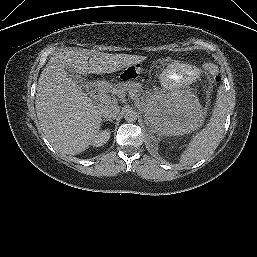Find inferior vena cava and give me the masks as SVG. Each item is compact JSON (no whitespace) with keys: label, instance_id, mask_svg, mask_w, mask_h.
<instances>
[{"label":"inferior vena cava","instance_id":"obj_1","mask_svg":"<svg viewBox=\"0 0 257 257\" xmlns=\"http://www.w3.org/2000/svg\"><path fill=\"white\" fill-rule=\"evenodd\" d=\"M120 113V107L117 104H105L99 109V114L104 119H115Z\"/></svg>","mask_w":257,"mask_h":257}]
</instances>
